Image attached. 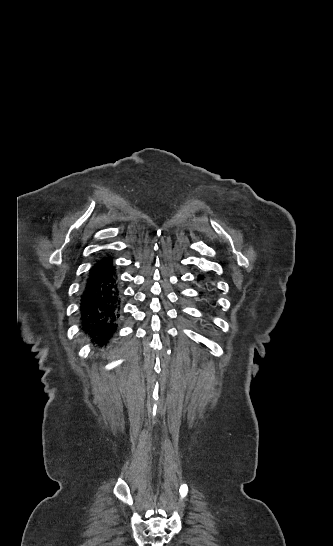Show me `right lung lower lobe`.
Segmentation results:
<instances>
[{"mask_svg":"<svg viewBox=\"0 0 333 546\" xmlns=\"http://www.w3.org/2000/svg\"><path fill=\"white\" fill-rule=\"evenodd\" d=\"M80 327L98 347H106L117 331L121 292L111 257L89 270L80 295Z\"/></svg>","mask_w":333,"mask_h":546,"instance_id":"98d812e1","label":"right lung lower lobe"}]
</instances>
